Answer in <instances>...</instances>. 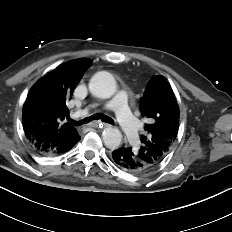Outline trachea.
I'll use <instances>...</instances> for the list:
<instances>
[{"label":"trachea","mask_w":232,"mask_h":232,"mask_svg":"<svg viewBox=\"0 0 232 232\" xmlns=\"http://www.w3.org/2000/svg\"><path fill=\"white\" fill-rule=\"evenodd\" d=\"M98 119H102L101 121L102 122H105V123H109V124H114V120L111 118V117H108V116H100V115H97V114H94L90 117H86L80 121H75V120H72L70 119L69 121L75 125V126H81L83 124H86V123H89L93 120H98Z\"/></svg>","instance_id":"3493384b"}]
</instances>
